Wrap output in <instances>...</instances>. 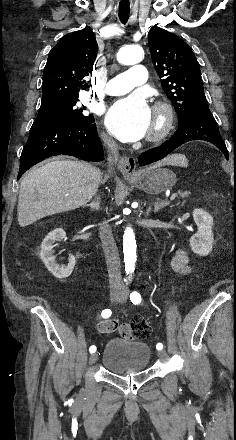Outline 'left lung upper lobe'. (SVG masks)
Segmentation results:
<instances>
[{
  "mask_svg": "<svg viewBox=\"0 0 236 440\" xmlns=\"http://www.w3.org/2000/svg\"><path fill=\"white\" fill-rule=\"evenodd\" d=\"M148 46L162 88L178 114V125L195 110L208 107L200 67L189 45L154 26L148 33Z\"/></svg>",
  "mask_w": 236,
  "mask_h": 440,
  "instance_id": "1",
  "label": "left lung upper lobe"
}]
</instances>
